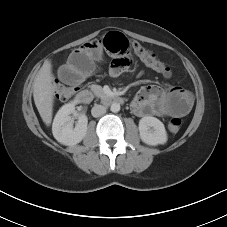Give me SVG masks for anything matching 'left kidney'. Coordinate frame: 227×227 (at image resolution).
<instances>
[{"label": "left kidney", "instance_id": "left-kidney-1", "mask_svg": "<svg viewBox=\"0 0 227 227\" xmlns=\"http://www.w3.org/2000/svg\"><path fill=\"white\" fill-rule=\"evenodd\" d=\"M139 132L141 140L151 146L165 144L167 132L164 124L157 118L145 116L139 121Z\"/></svg>", "mask_w": 227, "mask_h": 227}]
</instances>
